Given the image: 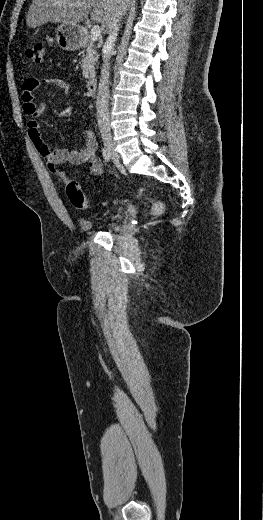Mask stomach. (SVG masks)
<instances>
[{
  "label": "stomach",
  "mask_w": 263,
  "mask_h": 520,
  "mask_svg": "<svg viewBox=\"0 0 263 520\" xmlns=\"http://www.w3.org/2000/svg\"><path fill=\"white\" fill-rule=\"evenodd\" d=\"M83 30L78 24L61 23L56 29V41L60 48L75 51L82 45Z\"/></svg>",
  "instance_id": "obj_1"
}]
</instances>
